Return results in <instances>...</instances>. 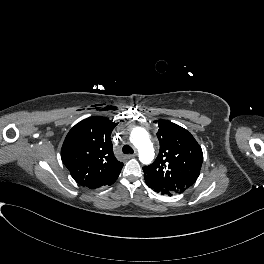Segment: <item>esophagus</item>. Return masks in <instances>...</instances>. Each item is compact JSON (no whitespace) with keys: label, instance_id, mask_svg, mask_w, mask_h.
I'll list each match as a JSON object with an SVG mask.
<instances>
[{"label":"esophagus","instance_id":"esophagus-1","mask_svg":"<svg viewBox=\"0 0 264 264\" xmlns=\"http://www.w3.org/2000/svg\"><path fill=\"white\" fill-rule=\"evenodd\" d=\"M137 154H128L126 155V158L130 159V158H134L136 157Z\"/></svg>","mask_w":264,"mask_h":264}]
</instances>
